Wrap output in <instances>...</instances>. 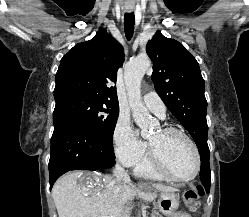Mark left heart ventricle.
I'll list each match as a JSON object with an SVG mask.
<instances>
[{"label": "left heart ventricle", "instance_id": "obj_1", "mask_svg": "<svg viewBox=\"0 0 249 217\" xmlns=\"http://www.w3.org/2000/svg\"><path fill=\"white\" fill-rule=\"evenodd\" d=\"M149 142L173 175L187 177L194 172L195 155L190 144L183 137L166 135L161 130H157L150 135Z\"/></svg>", "mask_w": 249, "mask_h": 217}]
</instances>
